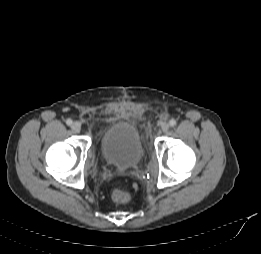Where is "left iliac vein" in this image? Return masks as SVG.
I'll return each mask as SVG.
<instances>
[{"instance_id": "4c4485c4", "label": "left iliac vein", "mask_w": 261, "mask_h": 254, "mask_svg": "<svg viewBox=\"0 0 261 254\" xmlns=\"http://www.w3.org/2000/svg\"><path fill=\"white\" fill-rule=\"evenodd\" d=\"M169 130V124L168 123H163L161 125V131L162 132H167Z\"/></svg>"}]
</instances>
